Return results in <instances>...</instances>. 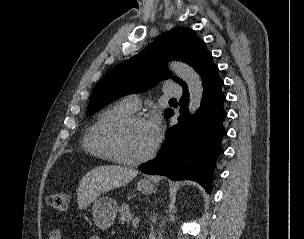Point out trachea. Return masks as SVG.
Instances as JSON below:
<instances>
[{
    "mask_svg": "<svg viewBox=\"0 0 304 239\" xmlns=\"http://www.w3.org/2000/svg\"><path fill=\"white\" fill-rule=\"evenodd\" d=\"M170 101H176V99H170Z\"/></svg>",
    "mask_w": 304,
    "mask_h": 239,
    "instance_id": "obj_1",
    "label": "trachea"
}]
</instances>
